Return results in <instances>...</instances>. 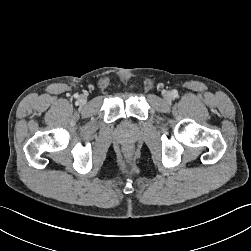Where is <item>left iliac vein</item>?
I'll list each match as a JSON object with an SVG mask.
<instances>
[{
	"instance_id": "4c4485c4",
	"label": "left iliac vein",
	"mask_w": 251,
	"mask_h": 251,
	"mask_svg": "<svg viewBox=\"0 0 251 251\" xmlns=\"http://www.w3.org/2000/svg\"><path fill=\"white\" fill-rule=\"evenodd\" d=\"M163 96L166 101H171L172 99V94L169 91H166Z\"/></svg>"
}]
</instances>
